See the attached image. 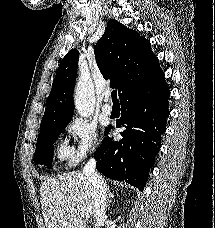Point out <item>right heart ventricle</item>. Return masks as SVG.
<instances>
[{
	"instance_id": "1",
	"label": "right heart ventricle",
	"mask_w": 215,
	"mask_h": 228,
	"mask_svg": "<svg viewBox=\"0 0 215 228\" xmlns=\"http://www.w3.org/2000/svg\"><path fill=\"white\" fill-rule=\"evenodd\" d=\"M69 149L66 146V143L63 142L58 147V157L63 160L69 156Z\"/></svg>"
}]
</instances>
